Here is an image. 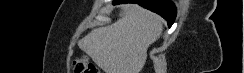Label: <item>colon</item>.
I'll use <instances>...</instances> for the list:
<instances>
[{
  "mask_svg": "<svg viewBox=\"0 0 244 73\" xmlns=\"http://www.w3.org/2000/svg\"><path fill=\"white\" fill-rule=\"evenodd\" d=\"M74 73H99V69L86 58H77L72 63Z\"/></svg>",
  "mask_w": 244,
  "mask_h": 73,
  "instance_id": "colon-1",
  "label": "colon"
}]
</instances>
